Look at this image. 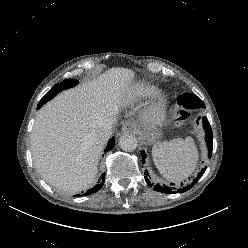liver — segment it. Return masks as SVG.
<instances>
[{"label":"liver","instance_id":"1","mask_svg":"<svg viewBox=\"0 0 248 248\" xmlns=\"http://www.w3.org/2000/svg\"><path fill=\"white\" fill-rule=\"evenodd\" d=\"M134 72L111 68L92 81L66 90L38 112L31 133L35 167L53 187L78 193L92 186L106 143L93 133L115 123L130 94Z\"/></svg>","mask_w":248,"mask_h":248}]
</instances>
